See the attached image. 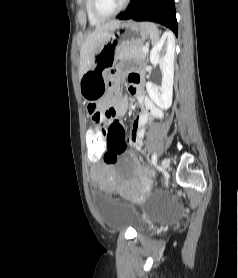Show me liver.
<instances>
[{
    "label": "liver",
    "instance_id": "obj_1",
    "mask_svg": "<svg viewBox=\"0 0 238 278\" xmlns=\"http://www.w3.org/2000/svg\"><path fill=\"white\" fill-rule=\"evenodd\" d=\"M120 23V21L114 20L98 25L95 30L86 37L80 50L79 78L91 68L94 63L96 51L108 42L111 31L117 28Z\"/></svg>",
    "mask_w": 238,
    "mask_h": 278
}]
</instances>
